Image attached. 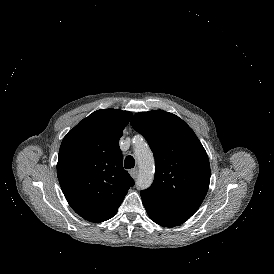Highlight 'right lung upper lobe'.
<instances>
[{
    "label": "right lung upper lobe",
    "instance_id": "cb5924a9",
    "mask_svg": "<svg viewBox=\"0 0 274 274\" xmlns=\"http://www.w3.org/2000/svg\"><path fill=\"white\" fill-rule=\"evenodd\" d=\"M128 111L98 110L63 139L57 163L60 186L72 209L90 222L112 218L134 180L124 170L119 139Z\"/></svg>",
    "mask_w": 274,
    "mask_h": 274
}]
</instances>
